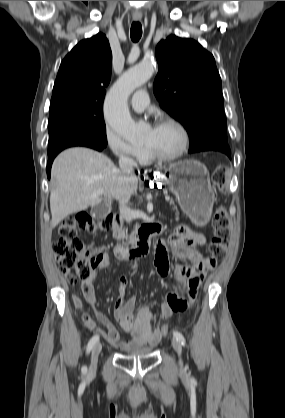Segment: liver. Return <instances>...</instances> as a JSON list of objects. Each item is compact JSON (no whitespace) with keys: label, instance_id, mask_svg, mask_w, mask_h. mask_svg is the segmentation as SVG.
<instances>
[{"label":"liver","instance_id":"1","mask_svg":"<svg viewBox=\"0 0 285 418\" xmlns=\"http://www.w3.org/2000/svg\"><path fill=\"white\" fill-rule=\"evenodd\" d=\"M52 179V228L67 216L98 205L102 195L119 200L136 194L138 187L135 176H126L106 155L83 147L69 148L55 158Z\"/></svg>","mask_w":285,"mask_h":418}]
</instances>
